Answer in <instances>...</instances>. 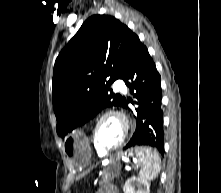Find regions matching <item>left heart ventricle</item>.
Masks as SVG:
<instances>
[{"mask_svg":"<svg viewBox=\"0 0 221 193\" xmlns=\"http://www.w3.org/2000/svg\"><path fill=\"white\" fill-rule=\"evenodd\" d=\"M121 122L112 116L106 117L99 124L97 136L99 142L105 147H112L118 143L122 136Z\"/></svg>","mask_w":221,"mask_h":193,"instance_id":"1","label":"left heart ventricle"}]
</instances>
